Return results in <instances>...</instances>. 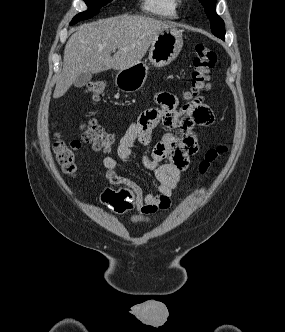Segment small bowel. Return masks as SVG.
Returning <instances> with one entry per match:
<instances>
[{"mask_svg":"<svg viewBox=\"0 0 285 332\" xmlns=\"http://www.w3.org/2000/svg\"><path fill=\"white\" fill-rule=\"evenodd\" d=\"M156 100L159 106H149L148 111L132 121L117 146L120 161L128 162L134 144L139 142L148 145L156 126H161L162 130H179L182 126L180 137L166 135L155 145L152 153L144 157L145 166L153 172L156 192H145L134 181L120 175L115 158L107 156L103 159L107 182L119 188H105L98 197L99 201L119 214L136 211L134 219L137 221H147L157 212L169 208L182 172L188 167L190 157L199 149L191 128L195 125L210 126L214 122L210 107L201 101L196 100L181 107L180 96L167 92L159 93Z\"/></svg>","mask_w":285,"mask_h":332,"instance_id":"small-bowel-1","label":"small bowel"}]
</instances>
